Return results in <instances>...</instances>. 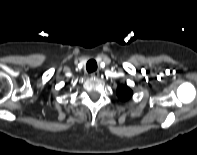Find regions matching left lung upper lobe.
I'll return each mask as SVG.
<instances>
[{"label":"left lung upper lobe","mask_w":197,"mask_h":155,"mask_svg":"<svg viewBox=\"0 0 197 155\" xmlns=\"http://www.w3.org/2000/svg\"><path fill=\"white\" fill-rule=\"evenodd\" d=\"M117 95L119 99L125 101V100H128L132 96V90L126 85H121L117 89Z\"/></svg>","instance_id":"obj_1"}]
</instances>
